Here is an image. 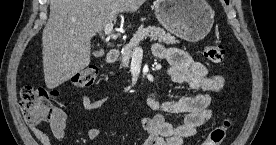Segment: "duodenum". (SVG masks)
<instances>
[{
	"mask_svg": "<svg viewBox=\"0 0 276 145\" xmlns=\"http://www.w3.org/2000/svg\"><path fill=\"white\" fill-rule=\"evenodd\" d=\"M119 50L117 48H112L106 53L105 60L108 63L115 62L118 59Z\"/></svg>",
	"mask_w": 276,
	"mask_h": 145,
	"instance_id": "410a0bca",
	"label": "duodenum"
}]
</instances>
